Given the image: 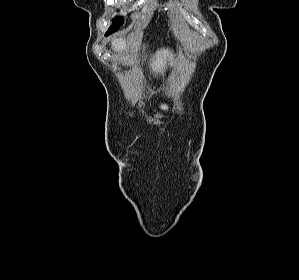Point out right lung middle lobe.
<instances>
[{
  "instance_id": "dd1d6c3e",
  "label": "right lung middle lobe",
  "mask_w": 299,
  "mask_h": 280,
  "mask_svg": "<svg viewBox=\"0 0 299 280\" xmlns=\"http://www.w3.org/2000/svg\"><path fill=\"white\" fill-rule=\"evenodd\" d=\"M122 24V18H116L113 20V26L109 28L108 31L111 33L116 32L119 29V26Z\"/></svg>"
}]
</instances>
